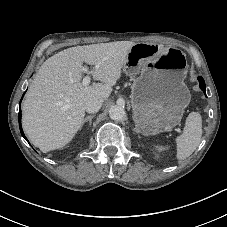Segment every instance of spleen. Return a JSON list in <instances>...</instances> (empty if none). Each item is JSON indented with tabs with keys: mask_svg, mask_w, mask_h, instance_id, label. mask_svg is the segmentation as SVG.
Listing matches in <instances>:
<instances>
[{
	"mask_svg": "<svg viewBox=\"0 0 227 227\" xmlns=\"http://www.w3.org/2000/svg\"><path fill=\"white\" fill-rule=\"evenodd\" d=\"M202 136V118L199 112H191L185 122L183 133L176 138L177 159L189 157L198 147Z\"/></svg>",
	"mask_w": 227,
	"mask_h": 227,
	"instance_id": "3e777b00",
	"label": "spleen"
}]
</instances>
